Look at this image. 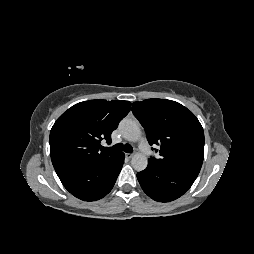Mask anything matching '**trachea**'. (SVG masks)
I'll list each match as a JSON object with an SVG mask.
<instances>
[{
    "label": "trachea",
    "mask_w": 254,
    "mask_h": 254,
    "mask_svg": "<svg viewBox=\"0 0 254 254\" xmlns=\"http://www.w3.org/2000/svg\"><path fill=\"white\" fill-rule=\"evenodd\" d=\"M102 150L103 151H115V152L125 151L127 153H131L133 151V147L129 144L123 145V144L119 143V144H116L112 147H102Z\"/></svg>",
    "instance_id": "3493384b"
}]
</instances>
